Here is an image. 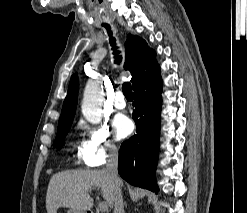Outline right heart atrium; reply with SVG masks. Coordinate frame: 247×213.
Segmentation results:
<instances>
[{
  "instance_id": "1",
  "label": "right heart atrium",
  "mask_w": 247,
  "mask_h": 213,
  "mask_svg": "<svg viewBox=\"0 0 247 213\" xmlns=\"http://www.w3.org/2000/svg\"><path fill=\"white\" fill-rule=\"evenodd\" d=\"M85 138L81 142L77 157L89 167H99L118 154V147L106 126L81 124Z\"/></svg>"
}]
</instances>
